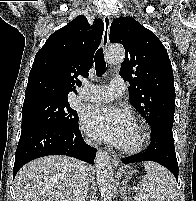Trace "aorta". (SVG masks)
<instances>
[{"label":"aorta","instance_id":"762f6f07","mask_svg":"<svg viewBox=\"0 0 196 201\" xmlns=\"http://www.w3.org/2000/svg\"><path fill=\"white\" fill-rule=\"evenodd\" d=\"M106 60L110 64H120L125 57V51L120 45L110 46L106 51ZM96 177L103 201H111L114 193V174L110 157L107 152L99 151L95 158Z\"/></svg>","mask_w":196,"mask_h":201}]
</instances>
